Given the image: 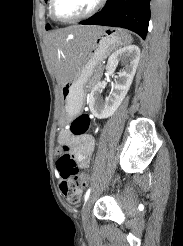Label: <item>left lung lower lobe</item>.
Segmentation results:
<instances>
[{
  "mask_svg": "<svg viewBox=\"0 0 183 246\" xmlns=\"http://www.w3.org/2000/svg\"><path fill=\"white\" fill-rule=\"evenodd\" d=\"M150 0H107L104 8L82 25H105L129 29L146 38L150 19Z\"/></svg>",
  "mask_w": 183,
  "mask_h": 246,
  "instance_id": "left-lung-lower-lobe-1",
  "label": "left lung lower lobe"
}]
</instances>
